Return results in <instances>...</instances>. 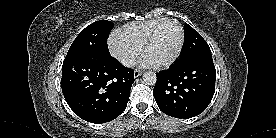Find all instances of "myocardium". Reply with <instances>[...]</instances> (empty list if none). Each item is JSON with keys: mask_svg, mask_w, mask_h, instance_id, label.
Returning a JSON list of instances; mask_svg holds the SVG:
<instances>
[{"mask_svg": "<svg viewBox=\"0 0 276 138\" xmlns=\"http://www.w3.org/2000/svg\"><path fill=\"white\" fill-rule=\"evenodd\" d=\"M167 22H173L178 26V28L180 30V35H181L180 43L178 45V48H177L175 54L173 55V57L171 59H169L168 61H166L164 63L153 65L155 68H158V69L168 68L172 64H174L176 62V60L179 58V56L183 50L184 44H185V30H184L183 25L175 18H165L162 21H160L149 33L147 39L145 40V42L141 48L142 55L145 56V53H146L147 49L150 47V45L153 43L158 30L160 29V27L163 24H165Z\"/></svg>", "mask_w": 276, "mask_h": 138, "instance_id": "obj_1", "label": "myocardium"}]
</instances>
